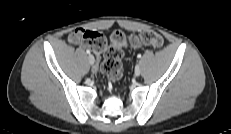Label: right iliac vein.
I'll list each match as a JSON object with an SVG mask.
<instances>
[{"instance_id":"obj_1","label":"right iliac vein","mask_w":231,"mask_h":134,"mask_svg":"<svg viewBox=\"0 0 231 134\" xmlns=\"http://www.w3.org/2000/svg\"><path fill=\"white\" fill-rule=\"evenodd\" d=\"M88 61H89V63H90L91 65H93V64H94V61H95L94 56L90 54V55L88 56Z\"/></svg>"}]
</instances>
